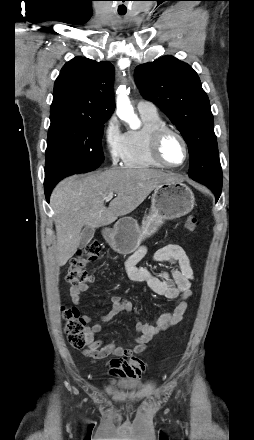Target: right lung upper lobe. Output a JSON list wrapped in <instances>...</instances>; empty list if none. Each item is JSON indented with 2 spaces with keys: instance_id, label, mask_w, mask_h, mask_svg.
<instances>
[{
  "instance_id": "right-lung-upper-lobe-1",
  "label": "right lung upper lobe",
  "mask_w": 254,
  "mask_h": 440,
  "mask_svg": "<svg viewBox=\"0 0 254 440\" xmlns=\"http://www.w3.org/2000/svg\"><path fill=\"white\" fill-rule=\"evenodd\" d=\"M114 67L75 57L62 68L55 81L51 115L70 112L97 119H108L115 108Z\"/></svg>"
}]
</instances>
